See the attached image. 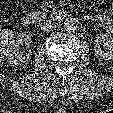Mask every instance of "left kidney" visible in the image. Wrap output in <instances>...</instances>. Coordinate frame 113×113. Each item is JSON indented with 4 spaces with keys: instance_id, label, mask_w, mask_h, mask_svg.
I'll return each instance as SVG.
<instances>
[{
    "instance_id": "1",
    "label": "left kidney",
    "mask_w": 113,
    "mask_h": 113,
    "mask_svg": "<svg viewBox=\"0 0 113 113\" xmlns=\"http://www.w3.org/2000/svg\"><path fill=\"white\" fill-rule=\"evenodd\" d=\"M100 42L105 46L104 51L100 47ZM94 54L98 59L105 61L113 60V36L107 34H96L94 40Z\"/></svg>"
}]
</instances>
